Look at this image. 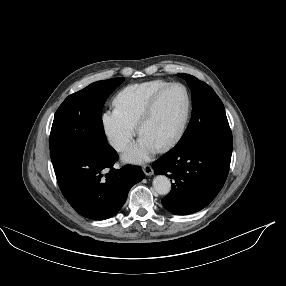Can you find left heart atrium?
Instances as JSON below:
<instances>
[{
	"label": "left heart atrium",
	"instance_id": "39dd6f15",
	"mask_svg": "<svg viewBox=\"0 0 286 286\" xmlns=\"http://www.w3.org/2000/svg\"><path fill=\"white\" fill-rule=\"evenodd\" d=\"M156 152L157 147L140 134V137L135 144L122 151V156L126 161L140 163L148 161Z\"/></svg>",
	"mask_w": 286,
	"mask_h": 286
}]
</instances>
